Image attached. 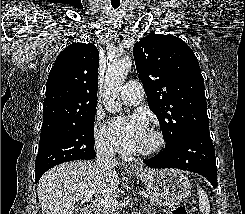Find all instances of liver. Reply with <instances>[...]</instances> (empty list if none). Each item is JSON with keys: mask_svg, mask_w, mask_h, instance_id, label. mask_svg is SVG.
Listing matches in <instances>:
<instances>
[{"mask_svg": "<svg viewBox=\"0 0 245 214\" xmlns=\"http://www.w3.org/2000/svg\"><path fill=\"white\" fill-rule=\"evenodd\" d=\"M118 185V173L112 168L75 161L47 171L38 182L37 193L42 214H68L85 195L110 196Z\"/></svg>", "mask_w": 245, "mask_h": 214, "instance_id": "6515ba94", "label": "liver"}]
</instances>
